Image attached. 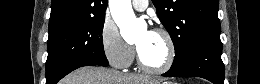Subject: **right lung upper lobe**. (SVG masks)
Here are the masks:
<instances>
[{
  "label": "right lung upper lobe",
  "mask_w": 260,
  "mask_h": 84,
  "mask_svg": "<svg viewBox=\"0 0 260 84\" xmlns=\"http://www.w3.org/2000/svg\"><path fill=\"white\" fill-rule=\"evenodd\" d=\"M108 0H52L49 29L105 15Z\"/></svg>",
  "instance_id": "obj_1"
}]
</instances>
